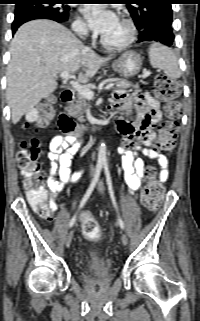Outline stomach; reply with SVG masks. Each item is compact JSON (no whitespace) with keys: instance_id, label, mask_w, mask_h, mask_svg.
<instances>
[{"instance_id":"0dacf381","label":"stomach","mask_w":200,"mask_h":321,"mask_svg":"<svg viewBox=\"0 0 200 321\" xmlns=\"http://www.w3.org/2000/svg\"><path fill=\"white\" fill-rule=\"evenodd\" d=\"M141 66L142 58L135 51H126L112 63L113 70L126 78L136 75Z\"/></svg>"}]
</instances>
